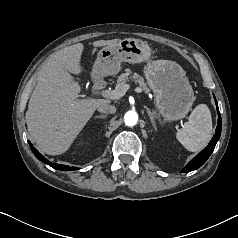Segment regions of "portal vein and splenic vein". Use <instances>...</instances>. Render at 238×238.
<instances>
[{"instance_id":"18ae733b","label":"portal vein and splenic vein","mask_w":238,"mask_h":238,"mask_svg":"<svg viewBox=\"0 0 238 238\" xmlns=\"http://www.w3.org/2000/svg\"><path fill=\"white\" fill-rule=\"evenodd\" d=\"M130 86L126 84L122 89H115V90H103L101 91V95L108 99H119L123 97L127 90H129ZM142 90L141 88H135V92L140 93Z\"/></svg>"}]
</instances>
